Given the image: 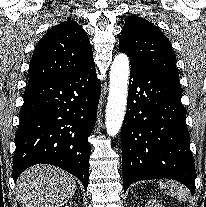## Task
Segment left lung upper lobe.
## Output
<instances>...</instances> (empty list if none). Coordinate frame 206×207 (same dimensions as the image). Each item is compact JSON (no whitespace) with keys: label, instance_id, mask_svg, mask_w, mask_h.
<instances>
[{"label":"left lung upper lobe","instance_id":"left-lung-upper-lobe-1","mask_svg":"<svg viewBox=\"0 0 206 207\" xmlns=\"http://www.w3.org/2000/svg\"><path fill=\"white\" fill-rule=\"evenodd\" d=\"M119 51L131 64L179 78L175 54L166 36L151 22L132 15L121 32Z\"/></svg>","mask_w":206,"mask_h":207}]
</instances>
